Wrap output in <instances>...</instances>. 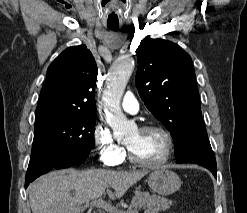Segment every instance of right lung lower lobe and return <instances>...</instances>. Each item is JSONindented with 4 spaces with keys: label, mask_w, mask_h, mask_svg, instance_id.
Instances as JSON below:
<instances>
[{
    "label": "right lung lower lobe",
    "mask_w": 247,
    "mask_h": 213,
    "mask_svg": "<svg viewBox=\"0 0 247 213\" xmlns=\"http://www.w3.org/2000/svg\"><path fill=\"white\" fill-rule=\"evenodd\" d=\"M88 155L89 153H85L77 157H68L53 151L44 158L30 162L26 173L25 188L28 187L30 182L40 175L49 172L51 169L67 168L72 165L80 164L85 161Z\"/></svg>",
    "instance_id": "obj_1"
}]
</instances>
